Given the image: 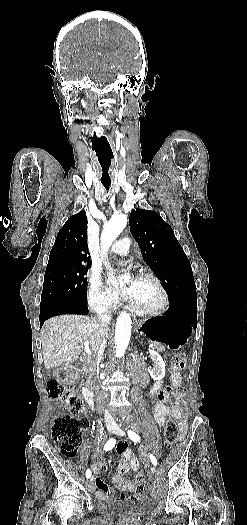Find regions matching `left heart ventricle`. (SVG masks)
Masks as SVG:
<instances>
[{"label":"left heart ventricle","mask_w":247,"mask_h":525,"mask_svg":"<svg viewBox=\"0 0 247 525\" xmlns=\"http://www.w3.org/2000/svg\"><path fill=\"white\" fill-rule=\"evenodd\" d=\"M119 267L123 272H129L133 268L131 259L128 257L122 258L119 262ZM135 280L137 281L138 289L134 300L140 301L148 306H157L162 302V293L152 279L140 277Z\"/></svg>","instance_id":"1"}]
</instances>
